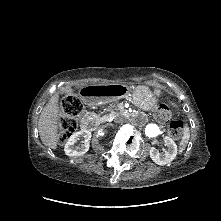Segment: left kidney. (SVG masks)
Instances as JSON below:
<instances>
[{"instance_id":"1","label":"left kidney","mask_w":221,"mask_h":221,"mask_svg":"<svg viewBox=\"0 0 221 221\" xmlns=\"http://www.w3.org/2000/svg\"><path fill=\"white\" fill-rule=\"evenodd\" d=\"M165 145L167 146L166 151L161 154L159 151L152 147L150 149V157L158 165H166L174 160L177 155V145L170 137L164 138Z\"/></svg>"}]
</instances>
